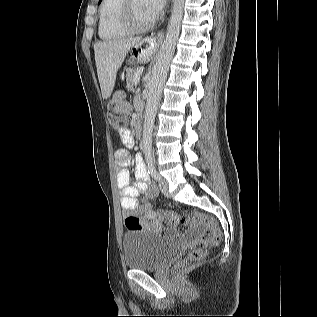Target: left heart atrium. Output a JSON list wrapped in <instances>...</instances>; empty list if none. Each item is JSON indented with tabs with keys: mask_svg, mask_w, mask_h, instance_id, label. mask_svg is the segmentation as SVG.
Wrapping results in <instances>:
<instances>
[{
	"mask_svg": "<svg viewBox=\"0 0 317 317\" xmlns=\"http://www.w3.org/2000/svg\"><path fill=\"white\" fill-rule=\"evenodd\" d=\"M146 7L149 10L153 19L157 18L163 7L165 6L166 0H145Z\"/></svg>",
	"mask_w": 317,
	"mask_h": 317,
	"instance_id": "39dd6f15",
	"label": "left heart atrium"
}]
</instances>
